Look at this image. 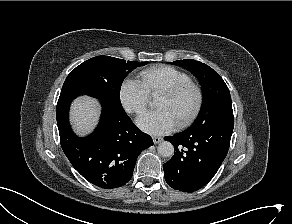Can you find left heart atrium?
Listing matches in <instances>:
<instances>
[{
	"label": "left heart atrium",
	"instance_id": "1",
	"mask_svg": "<svg viewBox=\"0 0 292 224\" xmlns=\"http://www.w3.org/2000/svg\"><path fill=\"white\" fill-rule=\"evenodd\" d=\"M138 127L152 135H163L176 127L173 117L165 109H156L141 115L136 121Z\"/></svg>",
	"mask_w": 292,
	"mask_h": 224
}]
</instances>
